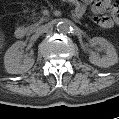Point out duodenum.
Segmentation results:
<instances>
[{"label":"duodenum","mask_w":119,"mask_h":119,"mask_svg":"<svg viewBox=\"0 0 119 119\" xmlns=\"http://www.w3.org/2000/svg\"><path fill=\"white\" fill-rule=\"evenodd\" d=\"M74 17L76 19H79L80 18V16L77 13H75ZM26 33H27L26 28L23 27V26H19L15 30V37L18 38V39H22V38H24L26 36Z\"/></svg>","instance_id":"duodenum-1"}]
</instances>
